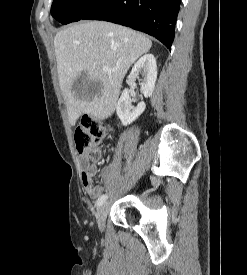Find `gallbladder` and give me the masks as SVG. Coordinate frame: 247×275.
I'll list each match as a JSON object with an SVG mask.
<instances>
[{"mask_svg": "<svg viewBox=\"0 0 247 275\" xmlns=\"http://www.w3.org/2000/svg\"><path fill=\"white\" fill-rule=\"evenodd\" d=\"M98 85H99V82L89 81L87 79L86 74L82 73L80 75V77H78L77 79L74 80V82L72 84V88L77 94H81L84 91H87L90 94H93L94 93V88L97 87Z\"/></svg>", "mask_w": 247, "mask_h": 275, "instance_id": "bac80fb5", "label": "gallbladder"}]
</instances>
